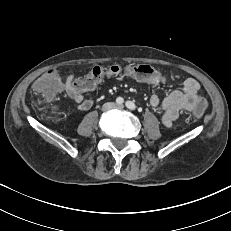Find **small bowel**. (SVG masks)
I'll return each instance as SVG.
<instances>
[{"mask_svg": "<svg viewBox=\"0 0 231 231\" xmlns=\"http://www.w3.org/2000/svg\"><path fill=\"white\" fill-rule=\"evenodd\" d=\"M75 75L69 74L65 77L64 81L60 82V89L63 91L73 102L77 109L88 110L90 109L94 101L92 99L85 98L83 91L78 90L74 86ZM171 79L168 75H157L145 78L141 81L140 86L143 90L149 91L154 88L166 87L170 84ZM200 84L193 78L186 79L182 87L171 91L164 97L158 95H152L150 98V104L153 108L162 112L161 122L167 127L171 128L179 115L184 112H193L194 107L199 100L204 98L198 95Z\"/></svg>", "mask_w": 231, "mask_h": 231, "instance_id": "1", "label": "small bowel"}]
</instances>
